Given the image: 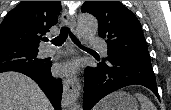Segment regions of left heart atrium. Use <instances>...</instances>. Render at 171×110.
<instances>
[{"instance_id": "1", "label": "left heart atrium", "mask_w": 171, "mask_h": 110, "mask_svg": "<svg viewBox=\"0 0 171 110\" xmlns=\"http://www.w3.org/2000/svg\"><path fill=\"white\" fill-rule=\"evenodd\" d=\"M78 65L75 62H68L57 65L55 72L60 76H73L77 71Z\"/></svg>"}]
</instances>
